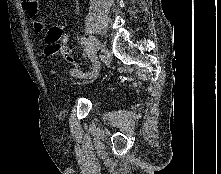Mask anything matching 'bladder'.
Segmentation results:
<instances>
[{"instance_id":"1","label":"bladder","mask_w":221,"mask_h":174,"mask_svg":"<svg viewBox=\"0 0 221 174\" xmlns=\"http://www.w3.org/2000/svg\"><path fill=\"white\" fill-rule=\"evenodd\" d=\"M92 99L93 100H99V98H100V93L99 92H97V91H94L93 93H92Z\"/></svg>"}]
</instances>
